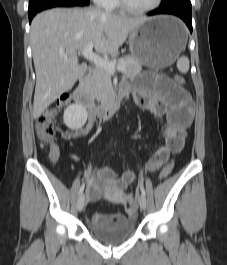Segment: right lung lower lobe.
I'll return each instance as SVG.
<instances>
[{
  "label": "right lung lower lobe",
  "mask_w": 227,
  "mask_h": 265,
  "mask_svg": "<svg viewBox=\"0 0 227 265\" xmlns=\"http://www.w3.org/2000/svg\"><path fill=\"white\" fill-rule=\"evenodd\" d=\"M88 0H48L44 2L41 6L38 8L28 11L29 15V22L33 19V17L40 11L54 8V7H73V6H85L88 5Z\"/></svg>",
  "instance_id": "obj_1"
}]
</instances>
